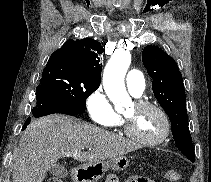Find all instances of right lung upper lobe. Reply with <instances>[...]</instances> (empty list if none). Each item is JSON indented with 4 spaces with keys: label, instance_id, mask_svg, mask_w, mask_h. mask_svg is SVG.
<instances>
[{
    "label": "right lung upper lobe",
    "instance_id": "cb5924a9",
    "mask_svg": "<svg viewBox=\"0 0 211 182\" xmlns=\"http://www.w3.org/2000/svg\"><path fill=\"white\" fill-rule=\"evenodd\" d=\"M104 49L93 39L68 40L48 60L46 68L57 66L77 76L100 84Z\"/></svg>",
    "mask_w": 211,
    "mask_h": 182
}]
</instances>
